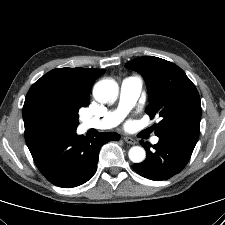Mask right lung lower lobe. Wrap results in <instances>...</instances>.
I'll list each match as a JSON object with an SVG mask.
<instances>
[{
	"label": "right lung lower lobe",
	"instance_id": "right-lung-lower-lobe-1",
	"mask_svg": "<svg viewBox=\"0 0 225 225\" xmlns=\"http://www.w3.org/2000/svg\"><path fill=\"white\" fill-rule=\"evenodd\" d=\"M119 139V134L113 132L88 139L78 136L76 130L46 128L25 137L33 160L44 177L56 186L68 188L87 182L97 170L101 146Z\"/></svg>",
	"mask_w": 225,
	"mask_h": 225
}]
</instances>
